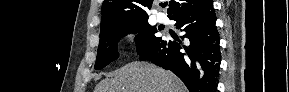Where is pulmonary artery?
Masks as SVG:
<instances>
[{"instance_id": "pulmonary-artery-1", "label": "pulmonary artery", "mask_w": 289, "mask_h": 92, "mask_svg": "<svg viewBox=\"0 0 289 92\" xmlns=\"http://www.w3.org/2000/svg\"><path fill=\"white\" fill-rule=\"evenodd\" d=\"M156 17L157 21L160 23H165L167 21V17L162 13H158Z\"/></svg>"}]
</instances>
